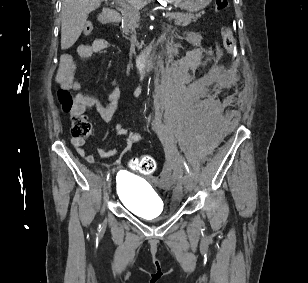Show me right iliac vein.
Here are the masks:
<instances>
[{
    "mask_svg": "<svg viewBox=\"0 0 308 283\" xmlns=\"http://www.w3.org/2000/svg\"><path fill=\"white\" fill-rule=\"evenodd\" d=\"M106 188H107V191L110 193L111 192V179L108 180Z\"/></svg>",
    "mask_w": 308,
    "mask_h": 283,
    "instance_id": "1",
    "label": "right iliac vein"
}]
</instances>
